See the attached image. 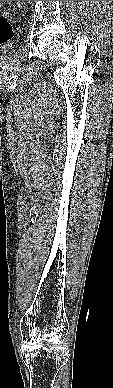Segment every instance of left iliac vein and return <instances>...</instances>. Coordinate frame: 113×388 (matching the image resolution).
<instances>
[{"mask_svg":"<svg viewBox=\"0 0 113 388\" xmlns=\"http://www.w3.org/2000/svg\"><path fill=\"white\" fill-rule=\"evenodd\" d=\"M17 5L19 8H22L23 6V1H16Z\"/></svg>","mask_w":113,"mask_h":388,"instance_id":"obj_1","label":"left iliac vein"}]
</instances>
